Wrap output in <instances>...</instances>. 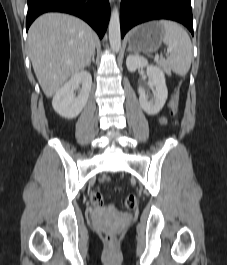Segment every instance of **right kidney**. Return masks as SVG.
Wrapping results in <instances>:
<instances>
[{
	"instance_id": "right-kidney-1",
	"label": "right kidney",
	"mask_w": 227,
	"mask_h": 265,
	"mask_svg": "<svg viewBox=\"0 0 227 265\" xmlns=\"http://www.w3.org/2000/svg\"><path fill=\"white\" fill-rule=\"evenodd\" d=\"M82 85L77 97L74 91ZM92 77L87 71H80L73 75L54 95L53 109L62 117L72 119L77 117L85 107L91 91Z\"/></svg>"
}]
</instances>
